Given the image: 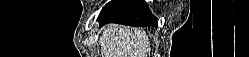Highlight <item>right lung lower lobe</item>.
I'll return each instance as SVG.
<instances>
[{"instance_id": "98d812e1", "label": "right lung lower lobe", "mask_w": 249, "mask_h": 57, "mask_svg": "<svg viewBox=\"0 0 249 57\" xmlns=\"http://www.w3.org/2000/svg\"><path fill=\"white\" fill-rule=\"evenodd\" d=\"M97 20L100 26L107 23L158 26L157 18L152 15L144 0H113L103 7Z\"/></svg>"}]
</instances>
